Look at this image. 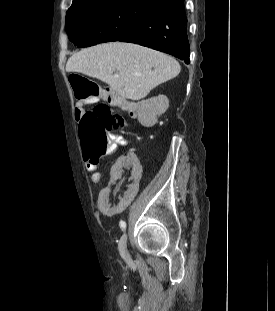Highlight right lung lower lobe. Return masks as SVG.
<instances>
[{"label":"right lung lower lobe","instance_id":"98d812e1","mask_svg":"<svg viewBox=\"0 0 275 311\" xmlns=\"http://www.w3.org/2000/svg\"><path fill=\"white\" fill-rule=\"evenodd\" d=\"M115 41L153 48L189 64L190 48L183 0H170L159 4L135 21Z\"/></svg>","mask_w":275,"mask_h":311}]
</instances>
